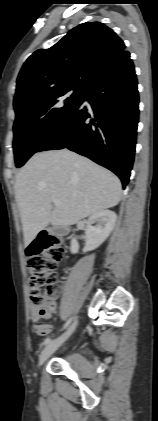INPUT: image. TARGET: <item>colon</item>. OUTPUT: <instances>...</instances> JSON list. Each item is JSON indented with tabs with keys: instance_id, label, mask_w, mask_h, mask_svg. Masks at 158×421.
<instances>
[{
	"instance_id": "5ec220e1",
	"label": "colon",
	"mask_w": 158,
	"mask_h": 421,
	"mask_svg": "<svg viewBox=\"0 0 158 421\" xmlns=\"http://www.w3.org/2000/svg\"><path fill=\"white\" fill-rule=\"evenodd\" d=\"M63 255L59 240L49 236L35 240L26 250L30 298L40 316L55 310L54 298L60 290L56 269Z\"/></svg>"
}]
</instances>
